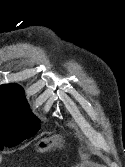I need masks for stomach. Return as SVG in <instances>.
I'll use <instances>...</instances> for the list:
<instances>
[{"label": "stomach", "mask_w": 125, "mask_h": 167, "mask_svg": "<svg viewBox=\"0 0 125 167\" xmlns=\"http://www.w3.org/2000/svg\"><path fill=\"white\" fill-rule=\"evenodd\" d=\"M44 143V144H43ZM42 144H39L38 146H37V149H38V151H40V152H43V151H45V150H47L48 148H50L51 146H52V144H48L47 142H43ZM55 143H57V142H55Z\"/></svg>", "instance_id": "1"}]
</instances>
